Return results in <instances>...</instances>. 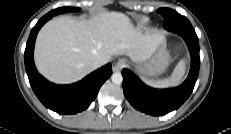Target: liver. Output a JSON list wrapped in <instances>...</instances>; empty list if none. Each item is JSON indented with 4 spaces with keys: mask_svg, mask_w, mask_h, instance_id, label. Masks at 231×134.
Masks as SVG:
<instances>
[{
    "mask_svg": "<svg viewBox=\"0 0 231 134\" xmlns=\"http://www.w3.org/2000/svg\"><path fill=\"white\" fill-rule=\"evenodd\" d=\"M163 41L162 33H142L123 13H102L89 20L59 17L38 33L35 63L47 79L72 83L94 70L96 60L106 64L117 55L143 60Z\"/></svg>",
    "mask_w": 231,
    "mask_h": 134,
    "instance_id": "1",
    "label": "liver"
}]
</instances>
